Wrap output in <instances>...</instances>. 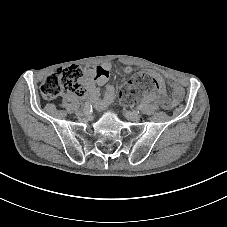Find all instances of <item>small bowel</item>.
I'll return each mask as SVG.
<instances>
[{"mask_svg": "<svg viewBox=\"0 0 227 227\" xmlns=\"http://www.w3.org/2000/svg\"><path fill=\"white\" fill-rule=\"evenodd\" d=\"M111 64L103 63L98 66L87 67L84 71L85 73V81H84V92L81 95H85L88 98V102L92 104L96 109L102 110L106 108L109 104H111L115 99V88L113 85H107L103 96H101L99 91V86L104 85L110 75ZM124 73L133 72V67L126 66L121 68ZM151 75L156 79L160 86V90L158 93V100L162 108L164 109H172L181 101L184 91L183 88L179 85L176 79L170 75H167L172 94L168 96L165 87L163 78L157 74L152 72ZM156 97L153 92H150L146 95L147 100H152Z\"/></svg>", "mask_w": 227, "mask_h": 227, "instance_id": "1", "label": "small bowel"}]
</instances>
